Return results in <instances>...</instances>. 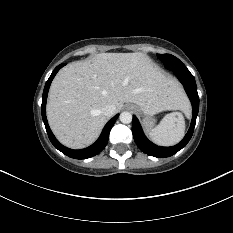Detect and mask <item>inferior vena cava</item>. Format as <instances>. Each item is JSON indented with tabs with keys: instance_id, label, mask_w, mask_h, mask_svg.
<instances>
[{
	"instance_id": "obj_1",
	"label": "inferior vena cava",
	"mask_w": 233,
	"mask_h": 233,
	"mask_svg": "<svg viewBox=\"0 0 233 233\" xmlns=\"http://www.w3.org/2000/svg\"><path fill=\"white\" fill-rule=\"evenodd\" d=\"M115 110H116L115 105L108 104L104 108H102V114L107 117H111L115 114Z\"/></svg>"
}]
</instances>
